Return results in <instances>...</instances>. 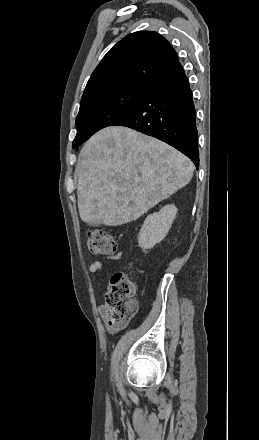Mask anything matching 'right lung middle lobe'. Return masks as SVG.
Wrapping results in <instances>:
<instances>
[{
  "mask_svg": "<svg viewBox=\"0 0 259 440\" xmlns=\"http://www.w3.org/2000/svg\"><path fill=\"white\" fill-rule=\"evenodd\" d=\"M147 89L142 87L119 89L81 104L76 117L77 135L72 147L77 149L94 133L110 126L128 113Z\"/></svg>",
  "mask_w": 259,
  "mask_h": 440,
  "instance_id": "obj_1",
  "label": "right lung middle lobe"
}]
</instances>
